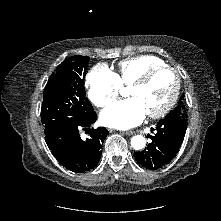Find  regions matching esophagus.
Masks as SVG:
<instances>
[{
    "instance_id": "obj_1",
    "label": "esophagus",
    "mask_w": 221,
    "mask_h": 221,
    "mask_svg": "<svg viewBox=\"0 0 221 221\" xmlns=\"http://www.w3.org/2000/svg\"><path fill=\"white\" fill-rule=\"evenodd\" d=\"M122 133L125 134V135H133L134 134L133 131H124Z\"/></svg>"
}]
</instances>
